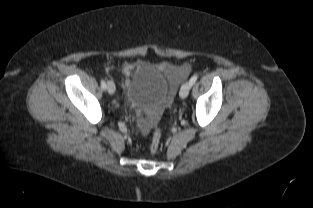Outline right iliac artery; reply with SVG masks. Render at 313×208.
Listing matches in <instances>:
<instances>
[{
	"mask_svg": "<svg viewBox=\"0 0 313 208\" xmlns=\"http://www.w3.org/2000/svg\"><path fill=\"white\" fill-rule=\"evenodd\" d=\"M101 88L103 89V90H105L106 89V82H105V80H101Z\"/></svg>",
	"mask_w": 313,
	"mask_h": 208,
	"instance_id": "82829eb1",
	"label": "right iliac artery"
}]
</instances>
